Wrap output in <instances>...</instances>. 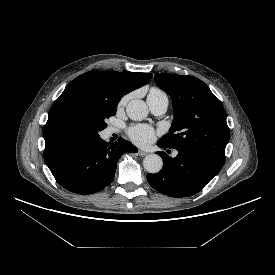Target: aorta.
Masks as SVG:
<instances>
[{
    "mask_svg": "<svg viewBox=\"0 0 275 275\" xmlns=\"http://www.w3.org/2000/svg\"><path fill=\"white\" fill-rule=\"evenodd\" d=\"M128 117L134 121H141L148 115V107L143 100H131L127 107ZM144 168L149 173H158L163 167V160L157 154H149L143 160Z\"/></svg>",
    "mask_w": 275,
    "mask_h": 275,
    "instance_id": "762f6f07",
    "label": "aorta"
}]
</instances>
